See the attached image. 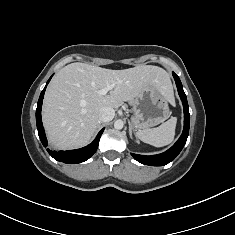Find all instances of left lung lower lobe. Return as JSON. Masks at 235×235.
Segmentation results:
<instances>
[{
	"mask_svg": "<svg viewBox=\"0 0 235 235\" xmlns=\"http://www.w3.org/2000/svg\"><path fill=\"white\" fill-rule=\"evenodd\" d=\"M173 77L176 81V85L178 88V93L181 98L183 107H184V129L182 132V135L177 140V142L167 151L158 154V155H152V156H146V155H139V154H133L131 155L136 159L138 162L150 165V166H163L171 162L176 158V156L181 152L182 148L184 147L188 134H189V125H190V114L188 109V103L186 95L183 91L182 83L179 79V77L173 72Z\"/></svg>",
	"mask_w": 235,
	"mask_h": 235,
	"instance_id": "1",
	"label": "left lung lower lobe"
}]
</instances>
